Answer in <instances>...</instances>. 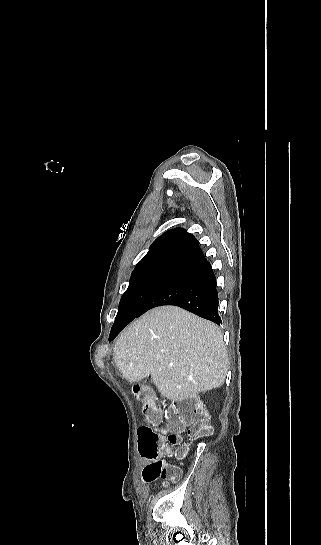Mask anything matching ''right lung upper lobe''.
<instances>
[{"mask_svg": "<svg viewBox=\"0 0 321 545\" xmlns=\"http://www.w3.org/2000/svg\"><path fill=\"white\" fill-rule=\"evenodd\" d=\"M198 241L183 228L168 230L150 246L134 270L164 266L179 268L201 253Z\"/></svg>", "mask_w": 321, "mask_h": 545, "instance_id": "1", "label": "right lung upper lobe"}]
</instances>
